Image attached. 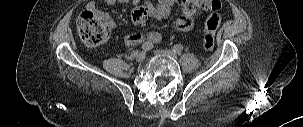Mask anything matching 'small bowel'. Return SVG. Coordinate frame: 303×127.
I'll list each match as a JSON object with an SVG mask.
<instances>
[{
    "label": "small bowel",
    "instance_id": "1",
    "mask_svg": "<svg viewBox=\"0 0 303 127\" xmlns=\"http://www.w3.org/2000/svg\"><path fill=\"white\" fill-rule=\"evenodd\" d=\"M108 5L122 4L131 10L132 22L135 26H143L147 18L156 20L165 19L169 16L171 8L175 3L182 6L181 14L175 21V26L180 31L193 29L197 15L202 10L220 9L218 0H156V3L147 2L145 6H140L141 0H103ZM87 10L96 11V3L90 1L86 5ZM100 16L113 26V20L108 13L100 12ZM161 40L158 32L151 31L147 34L134 32L125 38L127 46L137 45L141 42L147 44H157ZM143 43V44H144Z\"/></svg>",
    "mask_w": 303,
    "mask_h": 127
}]
</instances>
